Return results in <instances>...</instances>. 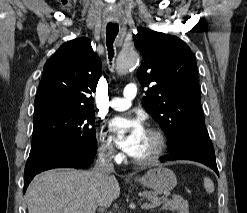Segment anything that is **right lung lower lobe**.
I'll return each mask as SVG.
<instances>
[{
  "instance_id": "98d812e1",
  "label": "right lung lower lobe",
  "mask_w": 247,
  "mask_h": 213,
  "mask_svg": "<svg viewBox=\"0 0 247 213\" xmlns=\"http://www.w3.org/2000/svg\"><path fill=\"white\" fill-rule=\"evenodd\" d=\"M96 151L97 147L80 149L71 139H62L30 153L24 172L23 193L36 174L52 168H86L92 163Z\"/></svg>"
}]
</instances>
